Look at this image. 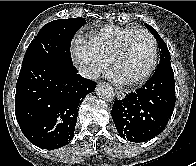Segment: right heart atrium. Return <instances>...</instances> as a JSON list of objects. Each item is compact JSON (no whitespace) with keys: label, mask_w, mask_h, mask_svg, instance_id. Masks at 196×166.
Masks as SVG:
<instances>
[{"label":"right heart atrium","mask_w":196,"mask_h":166,"mask_svg":"<svg viewBox=\"0 0 196 166\" xmlns=\"http://www.w3.org/2000/svg\"><path fill=\"white\" fill-rule=\"evenodd\" d=\"M71 52L75 63L88 77L97 75L109 65L107 60L91 48L87 40L81 38L74 39Z\"/></svg>","instance_id":"d8ad5b80"}]
</instances>
